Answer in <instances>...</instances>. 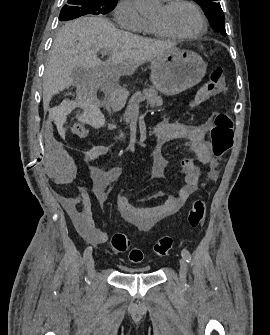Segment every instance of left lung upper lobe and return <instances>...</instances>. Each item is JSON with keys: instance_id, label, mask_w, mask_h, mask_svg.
<instances>
[{"instance_id": "left-lung-upper-lobe-1", "label": "left lung upper lobe", "mask_w": 270, "mask_h": 335, "mask_svg": "<svg viewBox=\"0 0 270 335\" xmlns=\"http://www.w3.org/2000/svg\"><path fill=\"white\" fill-rule=\"evenodd\" d=\"M204 11L212 27L222 35H227L225 31V17L221 5L217 0H194Z\"/></svg>"}]
</instances>
